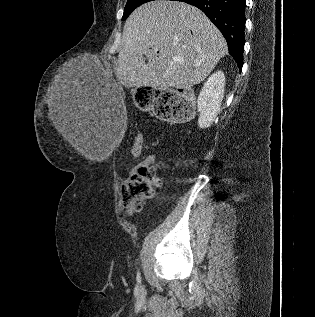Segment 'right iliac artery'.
I'll return each instance as SVG.
<instances>
[{
	"label": "right iliac artery",
	"mask_w": 315,
	"mask_h": 317,
	"mask_svg": "<svg viewBox=\"0 0 315 317\" xmlns=\"http://www.w3.org/2000/svg\"><path fill=\"white\" fill-rule=\"evenodd\" d=\"M137 281L140 282L141 281V277H140V273H137Z\"/></svg>",
	"instance_id": "right-iliac-artery-1"
}]
</instances>
